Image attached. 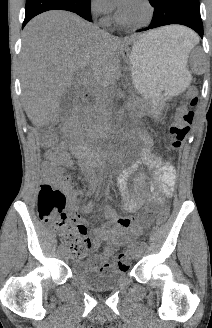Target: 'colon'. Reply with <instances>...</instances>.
<instances>
[{
  "label": "colon",
  "instance_id": "5ec220e1",
  "mask_svg": "<svg viewBox=\"0 0 212 328\" xmlns=\"http://www.w3.org/2000/svg\"><path fill=\"white\" fill-rule=\"evenodd\" d=\"M197 100L198 90L195 87L189 88L180 103V113L169 129L168 146L170 149L178 150L187 137L194 118L192 107L195 106ZM56 141L54 133H47L41 139V145L43 148H49ZM65 204V195L59 188L51 184L40 186L37 198V211L40 219L54 229L61 230V241L69 247L73 256L78 258L86 252L89 243L85 237V228L83 226L68 227V214L65 212ZM168 215L169 209L162 208L157 214V223H164ZM118 266L120 269H128L129 257L126 253L120 255Z\"/></svg>",
  "mask_w": 212,
  "mask_h": 328
}]
</instances>
